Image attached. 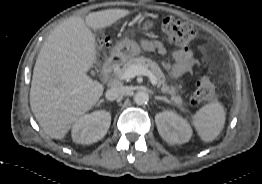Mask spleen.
<instances>
[{
	"instance_id": "1",
	"label": "spleen",
	"mask_w": 262,
	"mask_h": 184,
	"mask_svg": "<svg viewBox=\"0 0 262 184\" xmlns=\"http://www.w3.org/2000/svg\"><path fill=\"white\" fill-rule=\"evenodd\" d=\"M194 126L204 142L213 141L221 132L225 123V111L222 104L213 101L202 107L193 116Z\"/></svg>"
}]
</instances>
